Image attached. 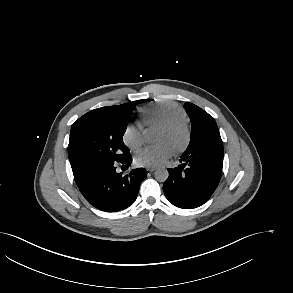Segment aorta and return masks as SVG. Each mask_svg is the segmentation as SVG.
Masks as SVG:
<instances>
[{"instance_id": "1", "label": "aorta", "mask_w": 293, "mask_h": 293, "mask_svg": "<svg viewBox=\"0 0 293 293\" xmlns=\"http://www.w3.org/2000/svg\"><path fill=\"white\" fill-rule=\"evenodd\" d=\"M149 140L153 139V135H148ZM169 173L166 168H159L155 171V179L159 182H164L167 180Z\"/></svg>"}]
</instances>
